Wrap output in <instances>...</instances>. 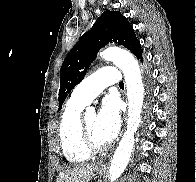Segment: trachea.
I'll return each mask as SVG.
<instances>
[{
	"mask_svg": "<svg viewBox=\"0 0 196 182\" xmlns=\"http://www.w3.org/2000/svg\"><path fill=\"white\" fill-rule=\"evenodd\" d=\"M119 86H124V83L121 81V82L119 83Z\"/></svg>",
	"mask_w": 196,
	"mask_h": 182,
	"instance_id": "1",
	"label": "trachea"
}]
</instances>
